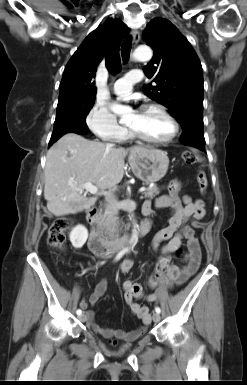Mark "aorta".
I'll return each instance as SVG.
<instances>
[{
	"label": "aorta",
	"instance_id": "aorta-1",
	"mask_svg": "<svg viewBox=\"0 0 247 385\" xmlns=\"http://www.w3.org/2000/svg\"><path fill=\"white\" fill-rule=\"evenodd\" d=\"M152 55L153 52L150 47L140 46L134 51L133 58L137 61H149L152 58ZM111 110L116 114H126L130 111L128 107L117 103L111 105ZM136 238V233H134L132 242H134Z\"/></svg>",
	"mask_w": 247,
	"mask_h": 385
}]
</instances>
